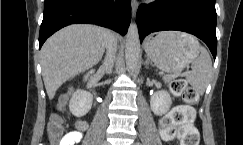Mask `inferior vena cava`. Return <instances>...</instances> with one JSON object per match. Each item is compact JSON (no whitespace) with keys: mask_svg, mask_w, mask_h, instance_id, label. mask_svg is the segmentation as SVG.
<instances>
[{"mask_svg":"<svg viewBox=\"0 0 243 145\" xmlns=\"http://www.w3.org/2000/svg\"><path fill=\"white\" fill-rule=\"evenodd\" d=\"M106 49L107 53L101 66V69L106 73H110L114 65L115 53L117 49L116 38L113 34L110 35V37L108 38Z\"/></svg>","mask_w":243,"mask_h":145,"instance_id":"602c4592","label":"inferior vena cava"}]
</instances>
